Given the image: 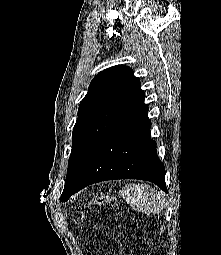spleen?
<instances>
[{
	"label": "spleen",
	"instance_id": "3e777b00",
	"mask_svg": "<svg viewBox=\"0 0 221 255\" xmlns=\"http://www.w3.org/2000/svg\"><path fill=\"white\" fill-rule=\"evenodd\" d=\"M122 197L138 212L157 214L165 207L164 194L144 184H127L121 190Z\"/></svg>",
	"mask_w": 221,
	"mask_h": 255
}]
</instances>
